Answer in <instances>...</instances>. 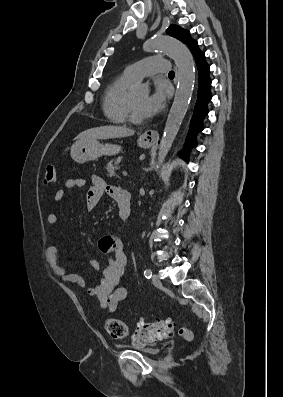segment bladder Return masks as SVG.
I'll list each match as a JSON object with an SVG mask.
<instances>
[{
    "instance_id": "bladder-1",
    "label": "bladder",
    "mask_w": 283,
    "mask_h": 397,
    "mask_svg": "<svg viewBox=\"0 0 283 397\" xmlns=\"http://www.w3.org/2000/svg\"><path fill=\"white\" fill-rule=\"evenodd\" d=\"M126 347L129 348V349L138 351V352H140L142 354L150 355V356L151 355H155V354L158 353V349L156 347L148 346L146 344H144V345L132 344V345H129V346H126Z\"/></svg>"
}]
</instances>
